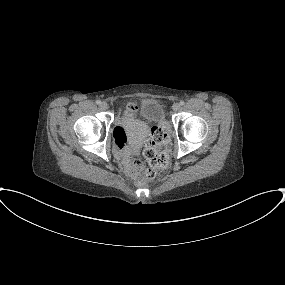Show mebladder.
<instances>
[{"label": "bladder", "mask_w": 285, "mask_h": 285, "mask_svg": "<svg viewBox=\"0 0 285 285\" xmlns=\"http://www.w3.org/2000/svg\"><path fill=\"white\" fill-rule=\"evenodd\" d=\"M164 120L165 111L160 102L155 99L142 101L140 104L139 116H129L121 122L124 137L129 146H138L144 140L148 134V124L150 122L161 123Z\"/></svg>", "instance_id": "bladder-1"}]
</instances>
